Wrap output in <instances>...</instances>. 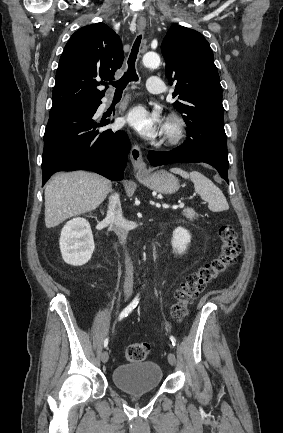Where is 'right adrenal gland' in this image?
<instances>
[{"instance_id": "2a0ac1e0", "label": "right adrenal gland", "mask_w": 283, "mask_h": 433, "mask_svg": "<svg viewBox=\"0 0 283 433\" xmlns=\"http://www.w3.org/2000/svg\"><path fill=\"white\" fill-rule=\"evenodd\" d=\"M100 212H102V214H105L104 210H102V208H100Z\"/></svg>"}]
</instances>
